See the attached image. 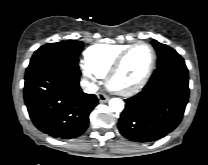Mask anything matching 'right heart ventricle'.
Masks as SVG:
<instances>
[{
  "label": "right heart ventricle",
  "instance_id": "1",
  "mask_svg": "<svg viewBox=\"0 0 208 165\" xmlns=\"http://www.w3.org/2000/svg\"><path fill=\"white\" fill-rule=\"evenodd\" d=\"M129 44L98 43L88 47L84 51V59L87 66L100 77L107 75L112 64Z\"/></svg>",
  "mask_w": 208,
  "mask_h": 165
}]
</instances>
